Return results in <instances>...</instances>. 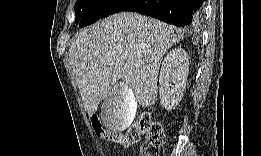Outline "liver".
<instances>
[{"mask_svg":"<svg viewBox=\"0 0 261 156\" xmlns=\"http://www.w3.org/2000/svg\"><path fill=\"white\" fill-rule=\"evenodd\" d=\"M183 37L181 29L131 12L111 15L77 32L69 47V61L86 112L96 113L112 92L122 94L116 86L119 80L132 92L134 110V99L142 107L154 105L163 56ZM134 110L112 130L129 127Z\"/></svg>","mask_w":261,"mask_h":156,"instance_id":"6515ba94","label":"liver"}]
</instances>
